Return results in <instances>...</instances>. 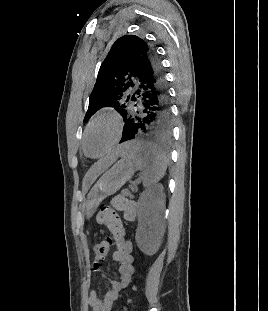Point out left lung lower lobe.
<instances>
[{
  "label": "left lung lower lobe",
  "mask_w": 268,
  "mask_h": 311,
  "mask_svg": "<svg viewBox=\"0 0 268 311\" xmlns=\"http://www.w3.org/2000/svg\"><path fill=\"white\" fill-rule=\"evenodd\" d=\"M133 109L123 128V140L168 141L171 111L166 79L157 54L152 50L139 65L131 97Z\"/></svg>",
  "instance_id": "0a47b994"
}]
</instances>
